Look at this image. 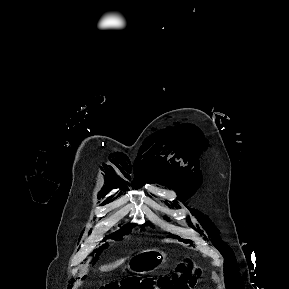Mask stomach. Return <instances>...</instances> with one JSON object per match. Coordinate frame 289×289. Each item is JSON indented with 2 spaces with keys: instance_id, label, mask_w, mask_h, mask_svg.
<instances>
[{
  "instance_id": "stomach-1",
  "label": "stomach",
  "mask_w": 289,
  "mask_h": 289,
  "mask_svg": "<svg viewBox=\"0 0 289 289\" xmlns=\"http://www.w3.org/2000/svg\"><path fill=\"white\" fill-rule=\"evenodd\" d=\"M165 253L157 249L144 250L133 256L127 269L136 274H147L164 263Z\"/></svg>"
}]
</instances>
